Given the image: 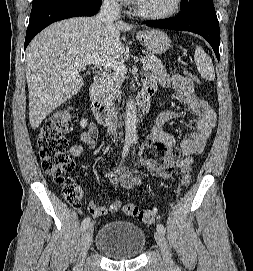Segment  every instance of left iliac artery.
<instances>
[{"label":"left iliac artery","instance_id":"1","mask_svg":"<svg viewBox=\"0 0 253 271\" xmlns=\"http://www.w3.org/2000/svg\"><path fill=\"white\" fill-rule=\"evenodd\" d=\"M157 230L162 234H165L166 232V229L162 224H157ZM177 271H181V270L178 268Z\"/></svg>","mask_w":253,"mask_h":271}]
</instances>
